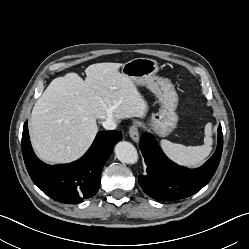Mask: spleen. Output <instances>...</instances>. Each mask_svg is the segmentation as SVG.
Instances as JSON below:
<instances>
[{
	"instance_id": "spleen-1",
	"label": "spleen",
	"mask_w": 249,
	"mask_h": 249,
	"mask_svg": "<svg viewBox=\"0 0 249 249\" xmlns=\"http://www.w3.org/2000/svg\"><path fill=\"white\" fill-rule=\"evenodd\" d=\"M212 124L209 122L205 126L204 145L184 146L172 143L168 140H161L160 145L165 154L179 165L195 167L200 164L212 150Z\"/></svg>"
}]
</instances>
